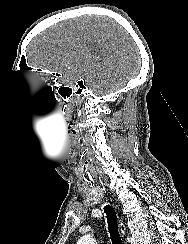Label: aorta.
Masks as SVG:
<instances>
[{
	"label": "aorta",
	"instance_id": "aorta-1",
	"mask_svg": "<svg viewBox=\"0 0 188 244\" xmlns=\"http://www.w3.org/2000/svg\"><path fill=\"white\" fill-rule=\"evenodd\" d=\"M77 244H96L95 239L91 235H84L82 236Z\"/></svg>",
	"mask_w": 188,
	"mask_h": 244
}]
</instances>
